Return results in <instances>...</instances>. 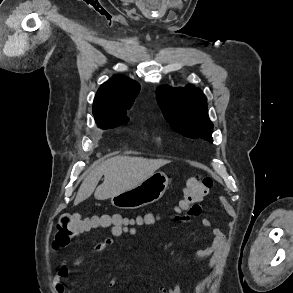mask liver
<instances>
[{
	"label": "liver",
	"mask_w": 293,
	"mask_h": 293,
	"mask_svg": "<svg viewBox=\"0 0 293 293\" xmlns=\"http://www.w3.org/2000/svg\"><path fill=\"white\" fill-rule=\"evenodd\" d=\"M168 162L167 160L127 156L110 158L95 165L87 172L74 200V205H78L89 198L94 191L97 200H106L134 188ZM103 175L104 181L97 187Z\"/></svg>",
	"instance_id": "1"
}]
</instances>
